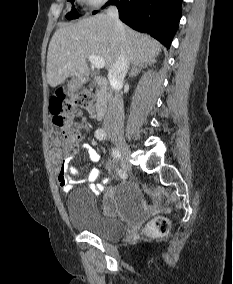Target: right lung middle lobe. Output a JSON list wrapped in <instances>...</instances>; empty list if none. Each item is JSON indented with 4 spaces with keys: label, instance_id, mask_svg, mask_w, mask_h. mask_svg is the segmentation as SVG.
<instances>
[{
    "label": "right lung middle lobe",
    "instance_id": "dd1d6c3e",
    "mask_svg": "<svg viewBox=\"0 0 233 284\" xmlns=\"http://www.w3.org/2000/svg\"><path fill=\"white\" fill-rule=\"evenodd\" d=\"M68 1H73V0H68ZM95 12V11H94ZM93 12V13H94ZM79 17V14L77 13L76 9H72L71 12L66 14L67 19H76Z\"/></svg>",
    "mask_w": 233,
    "mask_h": 284
}]
</instances>
